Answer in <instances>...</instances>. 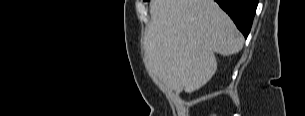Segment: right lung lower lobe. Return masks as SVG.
<instances>
[{
  "label": "right lung lower lobe",
  "instance_id": "right-lung-lower-lobe-1",
  "mask_svg": "<svg viewBox=\"0 0 305 116\" xmlns=\"http://www.w3.org/2000/svg\"><path fill=\"white\" fill-rule=\"evenodd\" d=\"M232 18L237 28L247 38L256 12L258 0H215Z\"/></svg>",
  "mask_w": 305,
  "mask_h": 116
}]
</instances>
